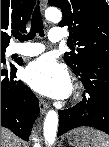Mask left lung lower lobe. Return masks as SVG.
Here are the masks:
<instances>
[{
    "mask_svg": "<svg viewBox=\"0 0 109 147\" xmlns=\"http://www.w3.org/2000/svg\"><path fill=\"white\" fill-rule=\"evenodd\" d=\"M79 76L87 95L74 107L59 111L58 136L80 126L109 134V60L91 58Z\"/></svg>",
    "mask_w": 109,
    "mask_h": 147,
    "instance_id": "0a47b994",
    "label": "left lung lower lobe"
}]
</instances>
